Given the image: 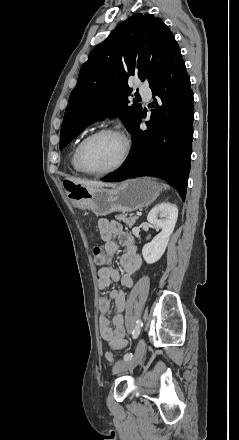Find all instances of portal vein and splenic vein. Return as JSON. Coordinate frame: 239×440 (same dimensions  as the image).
Listing matches in <instances>:
<instances>
[{
	"label": "portal vein and splenic vein",
	"mask_w": 239,
	"mask_h": 440,
	"mask_svg": "<svg viewBox=\"0 0 239 440\" xmlns=\"http://www.w3.org/2000/svg\"><path fill=\"white\" fill-rule=\"evenodd\" d=\"M142 213L141 212H137V215H141Z\"/></svg>",
	"instance_id": "1"
}]
</instances>
